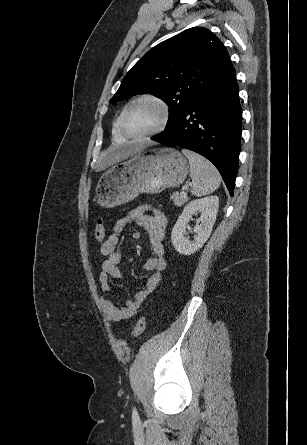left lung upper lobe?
<instances>
[{"label": "left lung upper lobe", "instance_id": "1", "mask_svg": "<svg viewBox=\"0 0 307 445\" xmlns=\"http://www.w3.org/2000/svg\"><path fill=\"white\" fill-rule=\"evenodd\" d=\"M222 42L208 29L194 27L148 51L126 74L109 103L152 94L169 107L170 128L231 67Z\"/></svg>", "mask_w": 307, "mask_h": 445}]
</instances>
